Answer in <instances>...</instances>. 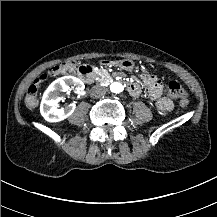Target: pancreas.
I'll use <instances>...</instances> for the list:
<instances>
[{
	"instance_id": "cf45deb5",
	"label": "pancreas",
	"mask_w": 217,
	"mask_h": 217,
	"mask_svg": "<svg viewBox=\"0 0 217 217\" xmlns=\"http://www.w3.org/2000/svg\"><path fill=\"white\" fill-rule=\"evenodd\" d=\"M107 75H108L107 73H102L100 76H101L102 78H106Z\"/></svg>"
}]
</instances>
